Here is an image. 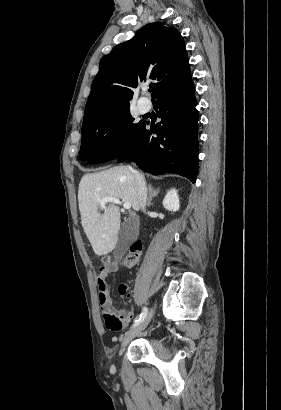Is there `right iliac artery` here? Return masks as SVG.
I'll list each match as a JSON object with an SVG mask.
<instances>
[{
  "label": "right iliac artery",
  "instance_id": "1",
  "mask_svg": "<svg viewBox=\"0 0 281 410\" xmlns=\"http://www.w3.org/2000/svg\"><path fill=\"white\" fill-rule=\"evenodd\" d=\"M148 314V309L147 307H143L142 309V313L140 314V316L135 320L134 324L132 327H136L137 325H139L147 316Z\"/></svg>",
  "mask_w": 281,
  "mask_h": 410
}]
</instances>
